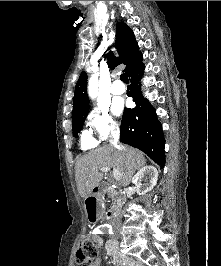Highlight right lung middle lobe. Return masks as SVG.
Masks as SVG:
<instances>
[{
  "label": "right lung middle lobe",
  "instance_id": "dd1d6c3e",
  "mask_svg": "<svg viewBox=\"0 0 221 266\" xmlns=\"http://www.w3.org/2000/svg\"><path fill=\"white\" fill-rule=\"evenodd\" d=\"M86 115L87 112L73 117V134L75 137L78 136V133L82 129Z\"/></svg>",
  "mask_w": 221,
  "mask_h": 266
}]
</instances>
